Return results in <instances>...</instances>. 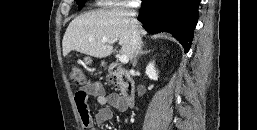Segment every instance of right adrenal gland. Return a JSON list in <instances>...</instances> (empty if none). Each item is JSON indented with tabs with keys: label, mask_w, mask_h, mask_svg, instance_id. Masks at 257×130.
I'll return each instance as SVG.
<instances>
[{
	"label": "right adrenal gland",
	"mask_w": 257,
	"mask_h": 130,
	"mask_svg": "<svg viewBox=\"0 0 257 130\" xmlns=\"http://www.w3.org/2000/svg\"><path fill=\"white\" fill-rule=\"evenodd\" d=\"M143 47H144V43L141 42L139 48H138V51L136 53V57L134 58V62H133V65L135 66L137 64V61L138 59L142 56V55H145L147 53H150L151 50H143Z\"/></svg>",
	"instance_id": "right-adrenal-gland-1"
}]
</instances>
